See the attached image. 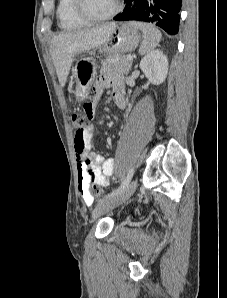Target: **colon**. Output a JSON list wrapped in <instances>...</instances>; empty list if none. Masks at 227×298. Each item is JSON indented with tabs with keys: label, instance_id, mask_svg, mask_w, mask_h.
Returning a JSON list of instances; mask_svg holds the SVG:
<instances>
[{
	"label": "colon",
	"instance_id": "1",
	"mask_svg": "<svg viewBox=\"0 0 227 298\" xmlns=\"http://www.w3.org/2000/svg\"><path fill=\"white\" fill-rule=\"evenodd\" d=\"M85 104H92L85 103ZM93 115H85V112H75L72 115V124L75 129V149L79 153L80 156H83L85 144H84V133L90 126L89 118ZM92 195L100 196L102 194V190L99 186L94 185L89 190Z\"/></svg>",
	"mask_w": 227,
	"mask_h": 298
}]
</instances>
